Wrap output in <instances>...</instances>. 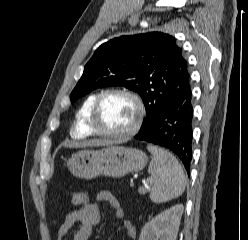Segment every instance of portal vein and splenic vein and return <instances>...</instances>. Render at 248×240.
Segmentation results:
<instances>
[{
  "mask_svg": "<svg viewBox=\"0 0 248 240\" xmlns=\"http://www.w3.org/2000/svg\"><path fill=\"white\" fill-rule=\"evenodd\" d=\"M139 192H140V193H145V192H146V188H144V187H139Z\"/></svg>",
  "mask_w": 248,
  "mask_h": 240,
  "instance_id": "1",
  "label": "portal vein and splenic vein"
}]
</instances>
